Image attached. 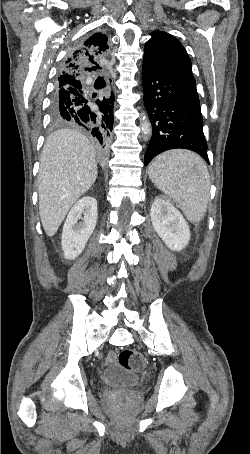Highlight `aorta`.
Masks as SVG:
<instances>
[{
	"instance_id": "aorta-1",
	"label": "aorta",
	"mask_w": 250,
	"mask_h": 454,
	"mask_svg": "<svg viewBox=\"0 0 250 454\" xmlns=\"http://www.w3.org/2000/svg\"><path fill=\"white\" fill-rule=\"evenodd\" d=\"M140 120H141L142 135H143L144 139L146 140V139L150 138L152 135V126L144 113L141 114Z\"/></svg>"
}]
</instances>
